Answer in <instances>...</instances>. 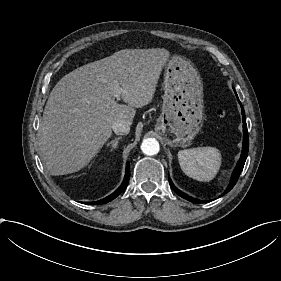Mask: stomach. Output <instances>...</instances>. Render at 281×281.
I'll return each mask as SVG.
<instances>
[{
    "label": "stomach",
    "instance_id": "0dacf381",
    "mask_svg": "<svg viewBox=\"0 0 281 281\" xmlns=\"http://www.w3.org/2000/svg\"><path fill=\"white\" fill-rule=\"evenodd\" d=\"M162 113L155 129L171 147H186L204 120L203 83L190 60L174 55L164 71Z\"/></svg>",
    "mask_w": 281,
    "mask_h": 281
}]
</instances>
